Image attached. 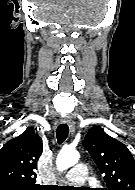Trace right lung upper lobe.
Returning a JSON list of instances; mask_svg holds the SVG:
<instances>
[{"instance_id":"right-lung-upper-lobe-1","label":"right lung upper lobe","mask_w":135,"mask_h":190,"mask_svg":"<svg viewBox=\"0 0 135 190\" xmlns=\"http://www.w3.org/2000/svg\"><path fill=\"white\" fill-rule=\"evenodd\" d=\"M43 151L42 139L28 128L0 149V187L37 188V161Z\"/></svg>"}]
</instances>
